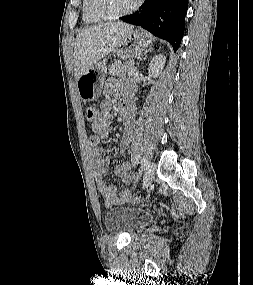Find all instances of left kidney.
<instances>
[{"label": "left kidney", "mask_w": 253, "mask_h": 285, "mask_svg": "<svg viewBox=\"0 0 253 285\" xmlns=\"http://www.w3.org/2000/svg\"><path fill=\"white\" fill-rule=\"evenodd\" d=\"M166 57L162 54L156 55L150 62L148 67L149 76L157 78L163 67L165 66Z\"/></svg>", "instance_id": "obj_1"}]
</instances>
